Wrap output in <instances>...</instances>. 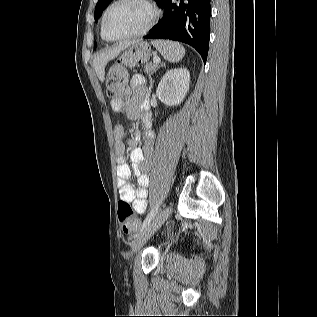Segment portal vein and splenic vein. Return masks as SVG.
Masks as SVG:
<instances>
[{
  "instance_id": "18ae733b",
  "label": "portal vein and splenic vein",
  "mask_w": 317,
  "mask_h": 317,
  "mask_svg": "<svg viewBox=\"0 0 317 317\" xmlns=\"http://www.w3.org/2000/svg\"><path fill=\"white\" fill-rule=\"evenodd\" d=\"M153 62L155 63V64H159L160 62H161V60H160V58L159 57H154L153 58Z\"/></svg>"
}]
</instances>
